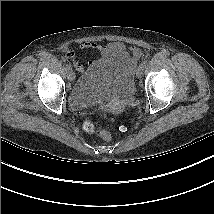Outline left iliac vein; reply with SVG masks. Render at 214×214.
Returning <instances> with one entry per match:
<instances>
[{"label":"left iliac vein","mask_w":214,"mask_h":214,"mask_svg":"<svg viewBox=\"0 0 214 214\" xmlns=\"http://www.w3.org/2000/svg\"><path fill=\"white\" fill-rule=\"evenodd\" d=\"M143 70H144V67H142V66H139V67L136 69L135 74H136V76H137L138 78H140V77L142 76Z\"/></svg>","instance_id":"obj_1"}]
</instances>
